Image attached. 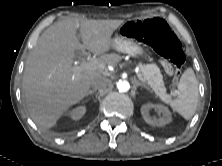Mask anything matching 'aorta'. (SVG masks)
I'll return each mask as SVG.
<instances>
[{
    "instance_id": "obj_1",
    "label": "aorta",
    "mask_w": 222,
    "mask_h": 166,
    "mask_svg": "<svg viewBox=\"0 0 222 166\" xmlns=\"http://www.w3.org/2000/svg\"><path fill=\"white\" fill-rule=\"evenodd\" d=\"M117 89L120 92H127L130 89V84L128 81L126 80H119L117 82Z\"/></svg>"
}]
</instances>
